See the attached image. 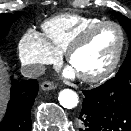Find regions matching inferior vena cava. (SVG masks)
I'll return each mask as SVG.
<instances>
[{"instance_id": "inferior-vena-cava-1", "label": "inferior vena cava", "mask_w": 131, "mask_h": 131, "mask_svg": "<svg viewBox=\"0 0 131 131\" xmlns=\"http://www.w3.org/2000/svg\"><path fill=\"white\" fill-rule=\"evenodd\" d=\"M45 67L41 65H26L21 68V73L27 78H36L44 74Z\"/></svg>"}]
</instances>
